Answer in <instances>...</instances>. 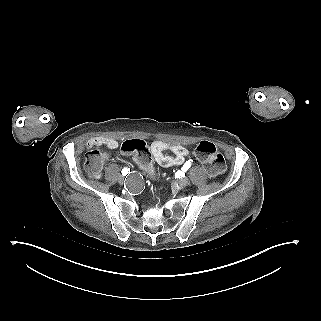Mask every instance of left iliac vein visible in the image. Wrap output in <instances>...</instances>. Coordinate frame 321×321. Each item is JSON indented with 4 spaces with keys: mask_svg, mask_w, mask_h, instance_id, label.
I'll return each instance as SVG.
<instances>
[{
    "mask_svg": "<svg viewBox=\"0 0 321 321\" xmlns=\"http://www.w3.org/2000/svg\"><path fill=\"white\" fill-rule=\"evenodd\" d=\"M190 184V180L187 178V177H184L180 180L177 181V185L178 186H183V187H186Z\"/></svg>",
    "mask_w": 321,
    "mask_h": 321,
    "instance_id": "left-iliac-vein-1",
    "label": "left iliac vein"
}]
</instances>
